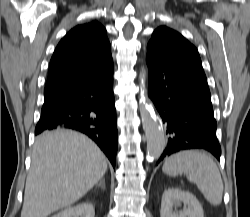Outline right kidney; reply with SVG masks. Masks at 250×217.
<instances>
[{
  "label": "right kidney",
  "mask_w": 250,
  "mask_h": 217,
  "mask_svg": "<svg viewBox=\"0 0 250 217\" xmlns=\"http://www.w3.org/2000/svg\"><path fill=\"white\" fill-rule=\"evenodd\" d=\"M95 210L92 204L84 202L74 207H68L52 217H94Z\"/></svg>",
  "instance_id": "obj_1"
}]
</instances>
